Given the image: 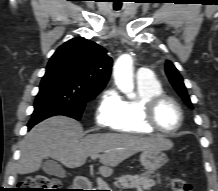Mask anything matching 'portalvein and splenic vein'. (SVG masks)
I'll list each match as a JSON object with an SVG mask.
<instances>
[{
    "mask_svg": "<svg viewBox=\"0 0 218 191\" xmlns=\"http://www.w3.org/2000/svg\"><path fill=\"white\" fill-rule=\"evenodd\" d=\"M97 157H99V155H92L91 159H96ZM97 184H98L99 190H107L108 189L107 188L108 186L106 185V183L101 178L97 179Z\"/></svg>",
    "mask_w": 218,
    "mask_h": 191,
    "instance_id": "1",
    "label": "portal vein and splenic vein"
}]
</instances>
